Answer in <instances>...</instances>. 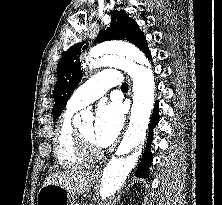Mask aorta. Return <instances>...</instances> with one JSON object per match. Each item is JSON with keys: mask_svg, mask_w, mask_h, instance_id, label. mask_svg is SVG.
Segmentation results:
<instances>
[{"mask_svg": "<svg viewBox=\"0 0 222 205\" xmlns=\"http://www.w3.org/2000/svg\"><path fill=\"white\" fill-rule=\"evenodd\" d=\"M100 52L103 54L100 58L90 56L86 62L98 68H123L133 78L131 121L116 154L105 166L97 189V195L104 201L123 187L144 151L156 87L149 61L135 46L119 42L106 43L100 47ZM81 120H93L92 112L81 111L74 117V124L79 125Z\"/></svg>", "mask_w": 222, "mask_h": 205, "instance_id": "aorta-1", "label": "aorta"}]
</instances>
